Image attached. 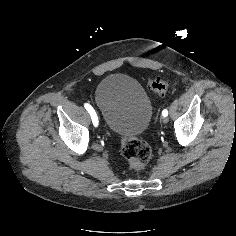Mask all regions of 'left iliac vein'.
<instances>
[{"label":"left iliac vein","mask_w":236,"mask_h":236,"mask_svg":"<svg viewBox=\"0 0 236 236\" xmlns=\"http://www.w3.org/2000/svg\"><path fill=\"white\" fill-rule=\"evenodd\" d=\"M162 122H163L164 124H166V123L168 122V118H167V116H163V118H162Z\"/></svg>","instance_id":"4c4485c4"}]
</instances>
